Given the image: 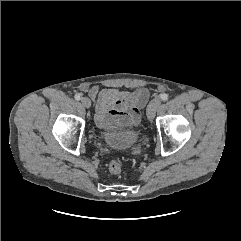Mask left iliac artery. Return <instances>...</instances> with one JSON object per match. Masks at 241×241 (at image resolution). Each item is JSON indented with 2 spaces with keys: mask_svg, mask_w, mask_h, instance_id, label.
<instances>
[{
  "mask_svg": "<svg viewBox=\"0 0 241 241\" xmlns=\"http://www.w3.org/2000/svg\"><path fill=\"white\" fill-rule=\"evenodd\" d=\"M160 98H161L162 101H167L168 98H169V96H168V94H165V93H164V94H161V95H160Z\"/></svg>",
  "mask_w": 241,
  "mask_h": 241,
  "instance_id": "left-iliac-artery-1",
  "label": "left iliac artery"
}]
</instances>
